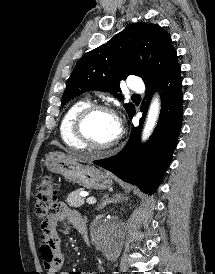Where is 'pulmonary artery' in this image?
<instances>
[{"mask_svg":"<svg viewBox=\"0 0 215 274\" xmlns=\"http://www.w3.org/2000/svg\"><path fill=\"white\" fill-rule=\"evenodd\" d=\"M128 88L135 92H142L144 90V85L140 79L132 78L128 81Z\"/></svg>","mask_w":215,"mask_h":274,"instance_id":"pulmonary-artery-1","label":"pulmonary artery"}]
</instances>
